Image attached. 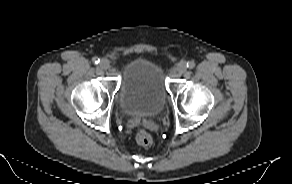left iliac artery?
<instances>
[{"instance_id": "left-iliac-artery-1", "label": "left iliac artery", "mask_w": 292, "mask_h": 184, "mask_svg": "<svg viewBox=\"0 0 292 184\" xmlns=\"http://www.w3.org/2000/svg\"><path fill=\"white\" fill-rule=\"evenodd\" d=\"M194 67H195V62L194 61L187 62V68L193 69Z\"/></svg>"}]
</instances>
